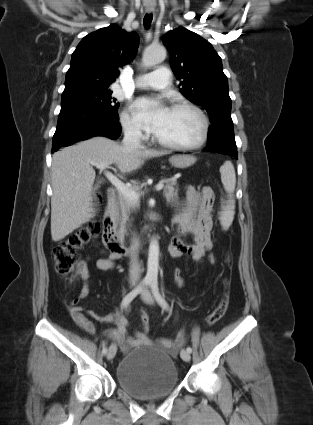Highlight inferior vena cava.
Returning <instances> with one entry per match:
<instances>
[{
    "label": "inferior vena cava",
    "instance_id": "obj_1",
    "mask_svg": "<svg viewBox=\"0 0 313 425\" xmlns=\"http://www.w3.org/2000/svg\"><path fill=\"white\" fill-rule=\"evenodd\" d=\"M140 132L132 126H126L124 128L123 146L127 150H135L141 147ZM138 240L133 237L131 243V261L129 269V277L132 282H136L140 279V265L138 261Z\"/></svg>",
    "mask_w": 313,
    "mask_h": 425
}]
</instances>
